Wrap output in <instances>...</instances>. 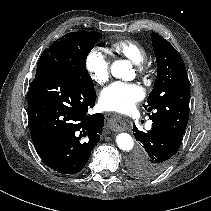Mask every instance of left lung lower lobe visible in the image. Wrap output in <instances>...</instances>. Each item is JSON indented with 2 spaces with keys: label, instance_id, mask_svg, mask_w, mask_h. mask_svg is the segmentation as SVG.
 Masks as SVG:
<instances>
[{
  "label": "left lung lower lobe",
  "instance_id": "0a47b994",
  "mask_svg": "<svg viewBox=\"0 0 211 211\" xmlns=\"http://www.w3.org/2000/svg\"><path fill=\"white\" fill-rule=\"evenodd\" d=\"M133 132L143 149L131 156L129 166L134 175L142 178L162 173L171 164L183 139V135L159 122H153L148 132L140 131L134 125Z\"/></svg>",
  "mask_w": 211,
  "mask_h": 211
}]
</instances>
